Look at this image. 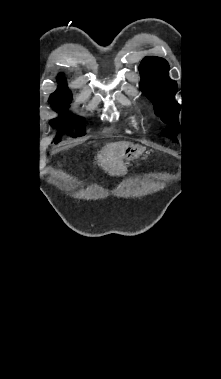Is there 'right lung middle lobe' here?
Instances as JSON below:
<instances>
[{"label": "right lung middle lobe", "instance_id": "obj_1", "mask_svg": "<svg viewBox=\"0 0 221 379\" xmlns=\"http://www.w3.org/2000/svg\"><path fill=\"white\" fill-rule=\"evenodd\" d=\"M70 102H61V103H51L52 107L57 111H65L67 109V106ZM84 119L83 118H73L68 115H61L59 118L52 120L50 123L52 125H56L60 127V131L58 136L63 134V131L71 129L73 125H75L78 130L81 129V126L83 124ZM84 135L83 132L77 133V136ZM72 137H76V135H72ZM60 141V138H56L54 140L55 143H58Z\"/></svg>", "mask_w": 221, "mask_h": 379}]
</instances>
